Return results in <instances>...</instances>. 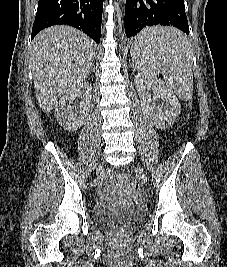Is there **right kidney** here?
Segmentation results:
<instances>
[{
	"label": "right kidney",
	"mask_w": 227,
	"mask_h": 267,
	"mask_svg": "<svg viewBox=\"0 0 227 267\" xmlns=\"http://www.w3.org/2000/svg\"><path fill=\"white\" fill-rule=\"evenodd\" d=\"M92 86L89 82L79 84L65 93L55 106L59 125L68 131H76L84 124L91 102ZM80 99L77 107L74 102Z\"/></svg>",
	"instance_id": "ca27d5eb"
}]
</instances>
